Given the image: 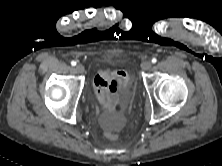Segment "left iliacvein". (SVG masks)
<instances>
[{"mask_svg":"<svg viewBox=\"0 0 222 166\" xmlns=\"http://www.w3.org/2000/svg\"><path fill=\"white\" fill-rule=\"evenodd\" d=\"M152 67V63L150 61H145L141 64V68L144 70V71H147V70H150Z\"/></svg>","mask_w":222,"mask_h":166,"instance_id":"4c4485c4","label":"left iliac vein"}]
</instances>
